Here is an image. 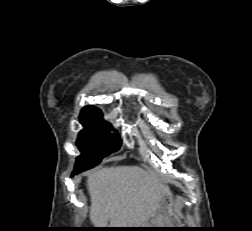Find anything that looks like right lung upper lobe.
<instances>
[{"instance_id": "right-lung-upper-lobe-1", "label": "right lung upper lobe", "mask_w": 252, "mask_h": 231, "mask_svg": "<svg viewBox=\"0 0 252 231\" xmlns=\"http://www.w3.org/2000/svg\"><path fill=\"white\" fill-rule=\"evenodd\" d=\"M95 114H100L102 115V112L100 109L93 107V106H86L81 110L80 115H95Z\"/></svg>"}]
</instances>
